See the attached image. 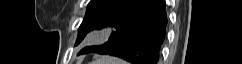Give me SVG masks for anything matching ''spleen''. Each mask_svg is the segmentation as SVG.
Returning <instances> with one entry per match:
<instances>
[{
    "instance_id": "3e777b00",
    "label": "spleen",
    "mask_w": 242,
    "mask_h": 64,
    "mask_svg": "<svg viewBox=\"0 0 242 64\" xmlns=\"http://www.w3.org/2000/svg\"><path fill=\"white\" fill-rule=\"evenodd\" d=\"M92 64H128V63L122 59H118L115 57L103 56L95 60Z\"/></svg>"
}]
</instances>
